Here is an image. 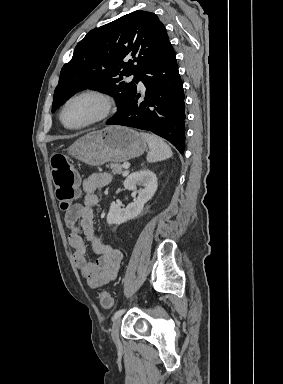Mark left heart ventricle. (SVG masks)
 I'll return each instance as SVG.
<instances>
[{"instance_id": "1", "label": "left heart ventricle", "mask_w": 283, "mask_h": 384, "mask_svg": "<svg viewBox=\"0 0 283 384\" xmlns=\"http://www.w3.org/2000/svg\"><path fill=\"white\" fill-rule=\"evenodd\" d=\"M98 103L89 97L72 101L64 112V123L67 126H78L89 121L97 113Z\"/></svg>"}]
</instances>
